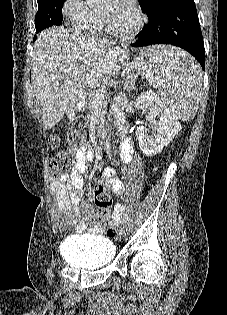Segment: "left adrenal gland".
Wrapping results in <instances>:
<instances>
[{"mask_svg": "<svg viewBox=\"0 0 227 315\" xmlns=\"http://www.w3.org/2000/svg\"><path fill=\"white\" fill-rule=\"evenodd\" d=\"M137 75H131L128 77L126 84H125V90H127L129 93L134 89V84L136 81Z\"/></svg>", "mask_w": 227, "mask_h": 315, "instance_id": "a2214340", "label": "left adrenal gland"}]
</instances>
